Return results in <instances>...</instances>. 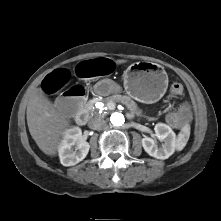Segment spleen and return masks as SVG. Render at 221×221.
I'll use <instances>...</instances> for the list:
<instances>
[{
    "mask_svg": "<svg viewBox=\"0 0 221 221\" xmlns=\"http://www.w3.org/2000/svg\"><path fill=\"white\" fill-rule=\"evenodd\" d=\"M189 137H190V126L187 124L181 129V132L178 134L176 142V148L178 151H181L186 146Z\"/></svg>",
    "mask_w": 221,
    "mask_h": 221,
    "instance_id": "obj_1",
    "label": "spleen"
}]
</instances>
